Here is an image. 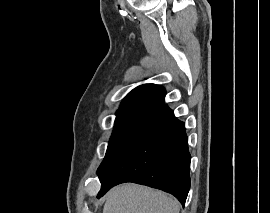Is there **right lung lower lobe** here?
I'll list each match as a JSON object with an SVG mask.
<instances>
[{
  "label": "right lung lower lobe",
  "instance_id": "right-lung-lower-lobe-1",
  "mask_svg": "<svg viewBox=\"0 0 270 213\" xmlns=\"http://www.w3.org/2000/svg\"><path fill=\"white\" fill-rule=\"evenodd\" d=\"M190 160L185 124L166 104L159 105L99 173L98 197L117 184L134 182L168 192L184 205Z\"/></svg>",
  "mask_w": 270,
  "mask_h": 213
}]
</instances>
